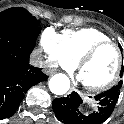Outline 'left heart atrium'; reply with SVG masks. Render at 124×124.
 <instances>
[{"mask_svg": "<svg viewBox=\"0 0 124 124\" xmlns=\"http://www.w3.org/2000/svg\"><path fill=\"white\" fill-rule=\"evenodd\" d=\"M78 78H79L80 81H82L80 76H78Z\"/></svg>", "mask_w": 124, "mask_h": 124, "instance_id": "obj_1", "label": "left heart atrium"}]
</instances>
